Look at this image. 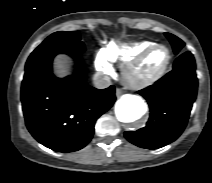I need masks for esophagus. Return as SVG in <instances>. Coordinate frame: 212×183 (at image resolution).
<instances>
[{
	"label": "esophagus",
	"instance_id": "obj_1",
	"mask_svg": "<svg viewBox=\"0 0 212 183\" xmlns=\"http://www.w3.org/2000/svg\"><path fill=\"white\" fill-rule=\"evenodd\" d=\"M123 93V90L121 88L116 89V95L120 96Z\"/></svg>",
	"mask_w": 212,
	"mask_h": 183
}]
</instances>
